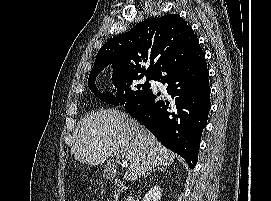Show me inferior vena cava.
Returning a JSON list of instances; mask_svg holds the SVG:
<instances>
[{
	"label": "inferior vena cava",
	"mask_w": 271,
	"mask_h": 201,
	"mask_svg": "<svg viewBox=\"0 0 271 201\" xmlns=\"http://www.w3.org/2000/svg\"><path fill=\"white\" fill-rule=\"evenodd\" d=\"M127 201H134V199H132L131 196H129V197L127 198Z\"/></svg>",
	"instance_id": "obj_1"
}]
</instances>
